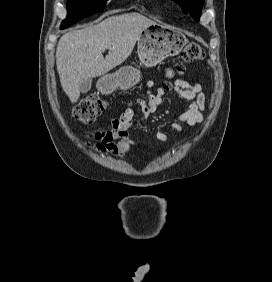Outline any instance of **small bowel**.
Returning <instances> with one entry per match:
<instances>
[{"label":"small bowel","mask_w":272,"mask_h":282,"mask_svg":"<svg viewBox=\"0 0 272 282\" xmlns=\"http://www.w3.org/2000/svg\"><path fill=\"white\" fill-rule=\"evenodd\" d=\"M172 74L171 69L166 70L167 77H171ZM152 86L153 82L147 83L146 94L148 96V103L139 101L142 113L137 119H134V113L131 109H126L120 117L111 120V129L107 132V143L108 148L115 156L127 154L130 147L135 145V142L128 136V129L144 122L151 114L158 111L162 102L161 97L165 91L163 88H159L157 95H153L150 91ZM174 90L181 98L188 100L189 104L185 112L175 121L170 122L165 128L157 131L156 136L161 142H166L168 139L165 132L166 128H170L177 133L181 130V123L195 126L204 121L205 95L202 85L200 83L178 80ZM115 140H119V142L115 143Z\"/></svg>","instance_id":"1"}]
</instances>
